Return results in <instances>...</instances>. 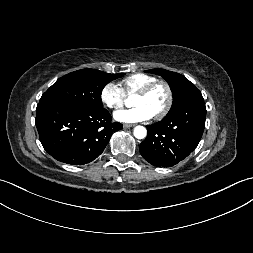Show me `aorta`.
Segmentation results:
<instances>
[{
	"label": "aorta",
	"mask_w": 253,
	"mask_h": 253,
	"mask_svg": "<svg viewBox=\"0 0 253 253\" xmlns=\"http://www.w3.org/2000/svg\"><path fill=\"white\" fill-rule=\"evenodd\" d=\"M147 135V131H146V128L143 127V126H136L134 128V136L137 138V139H143L145 138Z\"/></svg>",
	"instance_id": "aorta-1"
}]
</instances>
